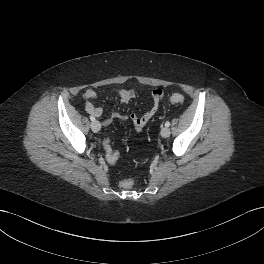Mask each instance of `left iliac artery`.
Returning a JSON list of instances; mask_svg holds the SVG:
<instances>
[{"label":"left iliac artery","instance_id":"obj_1","mask_svg":"<svg viewBox=\"0 0 264 264\" xmlns=\"http://www.w3.org/2000/svg\"><path fill=\"white\" fill-rule=\"evenodd\" d=\"M165 126H166V127H169V126H170V122L167 121V122L165 123Z\"/></svg>","mask_w":264,"mask_h":264}]
</instances>
